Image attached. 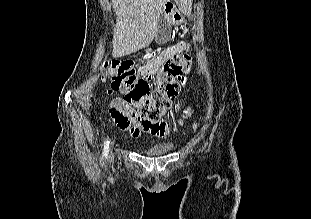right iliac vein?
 <instances>
[{
	"mask_svg": "<svg viewBox=\"0 0 311 219\" xmlns=\"http://www.w3.org/2000/svg\"><path fill=\"white\" fill-rule=\"evenodd\" d=\"M114 158V155H113V153H111V159H113Z\"/></svg>",
	"mask_w": 311,
	"mask_h": 219,
	"instance_id": "63e3f726",
	"label": "right iliac vein"
}]
</instances>
